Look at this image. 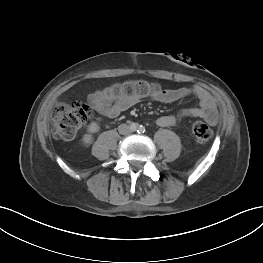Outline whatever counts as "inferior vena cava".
I'll return each mask as SVG.
<instances>
[{
    "label": "inferior vena cava",
    "mask_w": 263,
    "mask_h": 263,
    "mask_svg": "<svg viewBox=\"0 0 263 263\" xmlns=\"http://www.w3.org/2000/svg\"><path fill=\"white\" fill-rule=\"evenodd\" d=\"M118 131H119L120 134L125 135V134L130 133L131 129H130V127L127 124H121L118 127Z\"/></svg>",
    "instance_id": "602c4592"
}]
</instances>
